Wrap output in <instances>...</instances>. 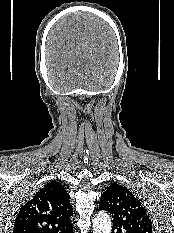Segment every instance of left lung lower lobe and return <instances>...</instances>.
I'll use <instances>...</instances> for the list:
<instances>
[{
  "mask_svg": "<svg viewBox=\"0 0 174 233\" xmlns=\"http://www.w3.org/2000/svg\"><path fill=\"white\" fill-rule=\"evenodd\" d=\"M117 231V233H120L121 232V230L123 231V229L122 228H120V227H117V226H113V231H112V233L114 232V231ZM125 232V231H124ZM126 233V232H125Z\"/></svg>",
  "mask_w": 174,
  "mask_h": 233,
  "instance_id": "obj_1",
  "label": "left lung lower lobe"
}]
</instances>
